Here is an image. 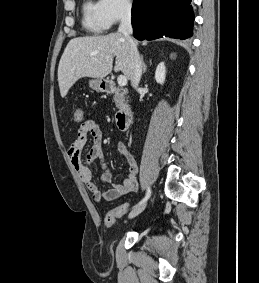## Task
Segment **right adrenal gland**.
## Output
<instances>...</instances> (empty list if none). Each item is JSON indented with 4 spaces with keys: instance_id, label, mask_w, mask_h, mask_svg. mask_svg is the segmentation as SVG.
<instances>
[{
    "instance_id": "right-adrenal-gland-1",
    "label": "right adrenal gland",
    "mask_w": 259,
    "mask_h": 283,
    "mask_svg": "<svg viewBox=\"0 0 259 283\" xmlns=\"http://www.w3.org/2000/svg\"><path fill=\"white\" fill-rule=\"evenodd\" d=\"M141 63H142V70H143V74L146 73V70H147V66L143 60V55H141Z\"/></svg>"
}]
</instances>
